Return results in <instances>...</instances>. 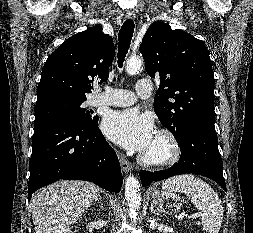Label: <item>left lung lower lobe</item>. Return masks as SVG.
<instances>
[{
	"label": "left lung lower lobe",
	"mask_w": 253,
	"mask_h": 233,
	"mask_svg": "<svg viewBox=\"0 0 253 233\" xmlns=\"http://www.w3.org/2000/svg\"><path fill=\"white\" fill-rule=\"evenodd\" d=\"M181 156L177 164L161 171H141L142 186L179 174H199L211 178L225 191L222 159L218 150V139L214 123L198 121L188 127L177 140Z\"/></svg>",
	"instance_id": "obj_1"
}]
</instances>
